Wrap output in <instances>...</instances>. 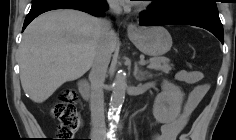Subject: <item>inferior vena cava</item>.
<instances>
[{
	"instance_id": "obj_1",
	"label": "inferior vena cava",
	"mask_w": 236,
	"mask_h": 140,
	"mask_svg": "<svg viewBox=\"0 0 236 140\" xmlns=\"http://www.w3.org/2000/svg\"><path fill=\"white\" fill-rule=\"evenodd\" d=\"M111 12L120 14L122 9L116 0L108 2ZM102 33L97 47L92 69L90 71L89 79L91 82V119L95 130L104 133L105 116H104V93L103 86L110 63L112 48L111 43L114 38V31L111 29V22L109 20H101Z\"/></svg>"
}]
</instances>
